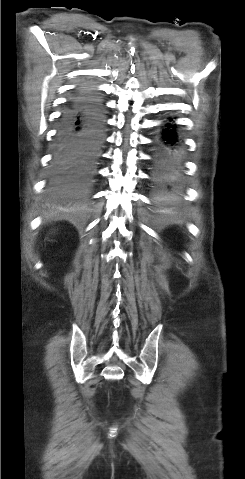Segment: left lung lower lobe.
Wrapping results in <instances>:
<instances>
[{"label": "left lung lower lobe", "mask_w": 245, "mask_h": 479, "mask_svg": "<svg viewBox=\"0 0 245 479\" xmlns=\"http://www.w3.org/2000/svg\"><path fill=\"white\" fill-rule=\"evenodd\" d=\"M169 121L171 122L172 119L170 118ZM165 127L162 136L155 141L154 186L159 198L171 197L179 190L176 177L179 167V139L175 130L176 125L167 123Z\"/></svg>", "instance_id": "obj_1"}]
</instances>
